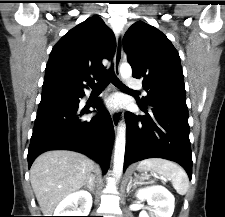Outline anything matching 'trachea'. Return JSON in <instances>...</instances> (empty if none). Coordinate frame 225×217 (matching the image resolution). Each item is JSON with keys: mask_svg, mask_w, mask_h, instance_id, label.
I'll return each instance as SVG.
<instances>
[{"mask_svg": "<svg viewBox=\"0 0 225 217\" xmlns=\"http://www.w3.org/2000/svg\"><path fill=\"white\" fill-rule=\"evenodd\" d=\"M110 82H112L116 87L118 88H125L129 89L127 86H125L114 74V71L112 68L108 70L106 75L98 81L94 85H90L93 89H103L105 88Z\"/></svg>", "mask_w": 225, "mask_h": 217, "instance_id": "1", "label": "trachea"}]
</instances>
